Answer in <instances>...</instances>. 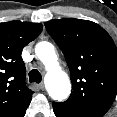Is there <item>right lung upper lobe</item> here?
I'll return each instance as SVG.
<instances>
[{
    "instance_id": "cb5924a9",
    "label": "right lung upper lobe",
    "mask_w": 117,
    "mask_h": 117,
    "mask_svg": "<svg viewBox=\"0 0 117 117\" xmlns=\"http://www.w3.org/2000/svg\"><path fill=\"white\" fill-rule=\"evenodd\" d=\"M40 23H0V117H23L33 91L25 83L23 48L39 36Z\"/></svg>"
}]
</instances>
